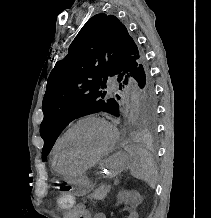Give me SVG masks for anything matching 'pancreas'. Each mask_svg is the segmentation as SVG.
Wrapping results in <instances>:
<instances>
[{
	"instance_id": "1",
	"label": "pancreas",
	"mask_w": 211,
	"mask_h": 218,
	"mask_svg": "<svg viewBox=\"0 0 211 218\" xmlns=\"http://www.w3.org/2000/svg\"><path fill=\"white\" fill-rule=\"evenodd\" d=\"M107 192H110L109 186H100L97 190H94L93 194H90L91 200H103L107 196Z\"/></svg>"
}]
</instances>
